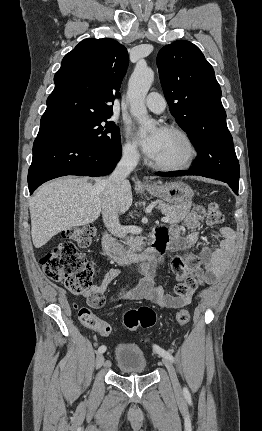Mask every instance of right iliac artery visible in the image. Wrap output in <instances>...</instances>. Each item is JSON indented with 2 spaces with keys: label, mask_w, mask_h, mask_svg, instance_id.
I'll list each match as a JSON object with an SVG mask.
<instances>
[{
  "label": "right iliac artery",
  "mask_w": 262,
  "mask_h": 431,
  "mask_svg": "<svg viewBox=\"0 0 262 431\" xmlns=\"http://www.w3.org/2000/svg\"><path fill=\"white\" fill-rule=\"evenodd\" d=\"M105 351H106V347L104 345L100 346L99 349H98L99 353H103Z\"/></svg>",
  "instance_id": "obj_1"
}]
</instances>
